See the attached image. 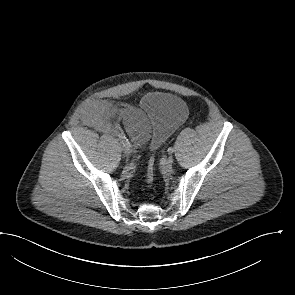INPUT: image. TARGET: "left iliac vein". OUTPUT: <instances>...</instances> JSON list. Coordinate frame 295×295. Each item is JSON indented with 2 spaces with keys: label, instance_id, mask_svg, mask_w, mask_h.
<instances>
[{
  "label": "left iliac vein",
  "instance_id": "1",
  "mask_svg": "<svg viewBox=\"0 0 295 295\" xmlns=\"http://www.w3.org/2000/svg\"><path fill=\"white\" fill-rule=\"evenodd\" d=\"M173 162H174L173 157H172V156H169V157L166 159V163H165V164H166V167H167V168H171Z\"/></svg>",
  "mask_w": 295,
  "mask_h": 295
}]
</instances>
